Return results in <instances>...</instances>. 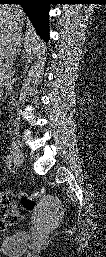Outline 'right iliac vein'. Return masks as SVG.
Wrapping results in <instances>:
<instances>
[{"label": "right iliac vein", "instance_id": "1", "mask_svg": "<svg viewBox=\"0 0 106 257\" xmlns=\"http://www.w3.org/2000/svg\"><path fill=\"white\" fill-rule=\"evenodd\" d=\"M11 155L15 165L17 167H21L24 162V157L14 138H12V141H11Z\"/></svg>", "mask_w": 106, "mask_h": 257}]
</instances>
